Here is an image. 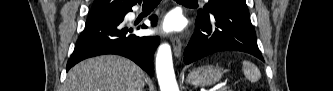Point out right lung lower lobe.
Returning a JSON list of instances; mask_svg holds the SVG:
<instances>
[{
    "mask_svg": "<svg viewBox=\"0 0 333 91\" xmlns=\"http://www.w3.org/2000/svg\"><path fill=\"white\" fill-rule=\"evenodd\" d=\"M129 10L114 15L89 16L85 30L79 36L66 70L76 63L98 55L117 54L127 57L153 76V54L160 43L159 37H139L132 34L135 25H126L123 20ZM155 26L157 17L151 16ZM147 26H137V29Z\"/></svg>",
    "mask_w": 333,
    "mask_h": 91,
    "instance_id": "obj_1",
    "label": "right lung lower lobe"
}]
</instances>
